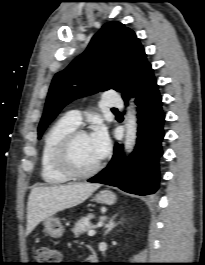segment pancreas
Instances as JSON below:
<instances>
[{
    "label": "pancreas",
    "mask_w": 205,
    "mask_h": 265,
    "mask_svg": "<svg viewBox=\"0 0 205 265\" xmlns=\"http://www.w3.org/2000/svg\"><path fill=\"white\" fill-rule=\"evenodd\" d=\"M93 218L92 214H87L86 216L82 217L80 220H78L75 223L74 228L72 229V232L76 237H78L80 234L89 231L93 226L90 223V220Z\"/></svg>",
    "instance_id": "obj_1"
}]
</instances>
